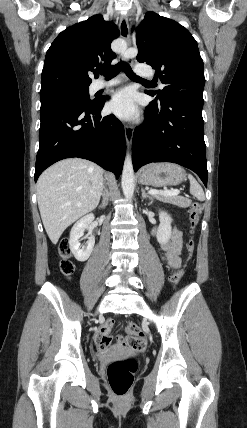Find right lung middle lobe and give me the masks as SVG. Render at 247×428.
Returning a JSON list of instances; mask_svg holds the SVG:
<instances>
[{"mask_svg": "<svg viewBox=\"0 0 247 428\" xmlns=\"http://www.w3.org/2000/svg\"><path fill=\"white\" fill-rule=\"evenodd\" d=\"M41 106L51 103H75L79 105H90L96 99L91 100L88 87H63L40 93Z\"/></svg>", "mask_w": 247, "mask_h": 428, "instance_id": "dd1d6c3e", "label": "right lung middle lobe"}]
</instances>
